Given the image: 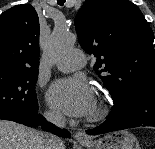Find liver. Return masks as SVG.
I'll use <instances>...</instances> for the list:
<instances>
[{"label":"liver","instance_id":"6515ba94","mask_svg":"<svg viewBox=\"0 0 155 149\" xmlns=\"http://www.w3.org/2000/svg\"><path fill=\"white\" fill-rule=\"evenodd\" d=\"M43 139L40 131L0 120V149H43Z\"/></svg>","mask_w":155,"mask_h":149}]
</instances>
